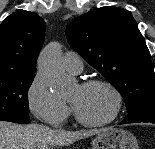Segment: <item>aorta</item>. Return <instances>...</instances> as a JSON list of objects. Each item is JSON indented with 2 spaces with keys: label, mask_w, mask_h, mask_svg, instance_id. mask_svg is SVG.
<instances>
[{
  "label": "aorta",
  "mask_w": 155,
  "mask_h": 149,
  "mask_svg": "<svg viewBox=\"0 0 155 149\" xmlns=\"http://www.w3.org/2000/svg\"><path fill=\"white\" fill-rule=\"evenodd\" d=\"M38 70L55 97L66 98L70 95L74 82L65 73L60 43L52 42L42 50Z\"/></svg>",
  "instance_id": "obj_1"
}]
</instances>
